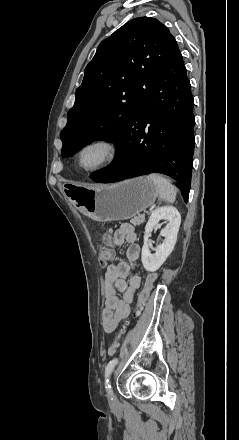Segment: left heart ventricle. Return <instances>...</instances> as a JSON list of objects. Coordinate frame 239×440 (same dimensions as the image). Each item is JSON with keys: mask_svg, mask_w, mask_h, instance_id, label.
Here are the masks:
<instances>
[{"mask_svg": "<svg viewBox=\"0 0 239 440\" xmlns=\"http://www.w3.org/2000/svg\"><path fill=\"white\" fill-rule=\"evenodd\" d=\"M104 157L105 150L102 147H92L84 152L81 166L83 168H93L100 164Z\"/></svg>", "mask_w": 239, "mask_h": 440, "instance_id": "obj_1", "label": "left heart ventricle"}]
</instances>
